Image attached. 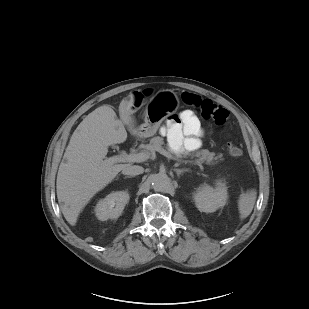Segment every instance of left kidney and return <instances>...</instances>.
Returning a JSON list of instances; mask_svg holds the SVG:
<instances>
[{
    "instance_id": "obj_1",
    "label": "left kidney",
    "mask_w": 309,
    "mask_h": 309,
    "mask_svg": "<svg viewBox=\"0 0 309 309\" xmlns=\"http://www.w3.org/2000/svg\"><path fill=\"white\" fill-rule=\"evenodd\" d=\"M228 198L227 188L221 180L213 188L207 184L201 185L193 194L196 207L201 212L212 213L225 206Z\"/></svg>"
}]
</instances>
